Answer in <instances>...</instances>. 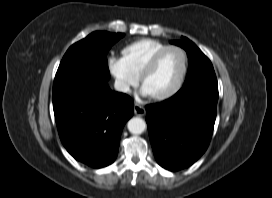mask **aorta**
<instances>
[{
  "instance_id": "aorta-1",
  "label": "aorta",
  "mask_w": 272,
  "mask_h": 198,
  "mask_svg": "<svg viewBox=\"0 0 272 198\" xmlns=\"http://www.w3.org/2000/svg\"><path fill=\"white\" fill-rule=\"evenodd\" d=\"M128 130L132 134H141L146 129V122L139 117L131 118L127 124Z\"/></svg>"
}]
</instances>
